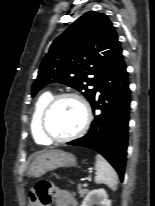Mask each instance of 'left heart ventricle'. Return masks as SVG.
I'll use <instances>...</instances> for the list:
<instances>
[{"instance_id": "obj_1", "label": "left heart ventricle", "mask_w": 155, "mask_h": 206, "mask_svg": "<svg viewBox=\"0 0 155 206\" xmlns=\"http://www.w3.org/2000/svg\"><path fill=\"white\" fill-rule=\"evenodd\" d=\"M83 122V111L80 104L72 98L62 99L50 111L46 126L48 132L58 138L76 132Z\"/></svg>"}]
</instances>
